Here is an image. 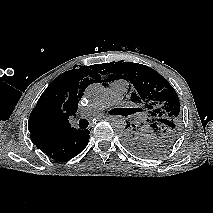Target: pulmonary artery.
Here are the masks:
<instances>
[{
	"label": "pulmonary artery",
	"instance_id": "e3ab8cb5",
	"mask_svg": "<svg viewBox=\"0 0 213 213\" xmlns=\"http://www.w3.org/2000/svg\"><path fill=\"white\" fill-rule=\"evenodd\" d=\"M127 89L128 82L126 80L112 81L111 83H109L106 96L102 100L93 102L82 108L80 116L85 117L95 114L102 109L117 103L121 99L123 94L127 91Z\"/></svg>",
	"mask_w": 213,
	"mask_h": 213
}]
</instances>
